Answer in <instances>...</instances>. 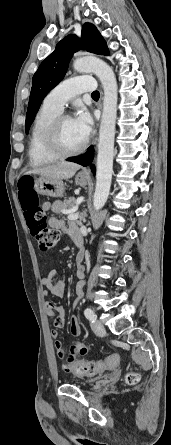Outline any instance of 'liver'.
<instances>
[{
    "instance_id": "liver-1",
    "label": "liver",
    "mask_w": 171,
    "mask_h": 445,
    "mask_svg": "<svg viewBox=\"0 0 171 445\" xmlns=\"http://www.w3.org/2000/svg\"><path fill=\"white\" fill-rule=\"evenodd\" d=\"M80 166L75 163L63 162L42 168H35L26 172V174H36L51 179H68L74 176Z\"/></svg>"
}]
</instances>
